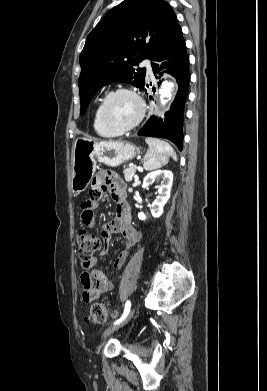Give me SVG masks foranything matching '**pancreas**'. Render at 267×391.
<instances>
[{
	"label": "pancreas",
	"instance_id": "1",
	"mask_svg": "<svg viewBox=\"0 0 267 391\" xmlns=\"http://www.w3.org/2000/svg\"><path fill=\"white\" fill-rule=\"evenodd\" d=\"M124 178L127 182L132 181L133 177L135 176L136 173V167L135 166H130L128 168H125L124 171Z\"/></svg>",
	"mask_w": 267,
	"mask_h": 391
}]
</instances>
